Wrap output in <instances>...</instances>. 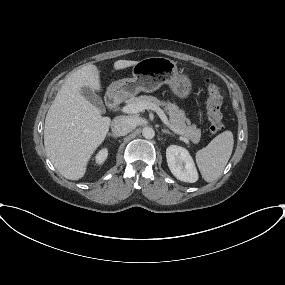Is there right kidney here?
<instances>
[{
	"label": "right kidney",
	"mask_w": 285,
	"mask_h": 285,
	"mask_svg": "<svg viewBox=\"0 0 285 285\" xmlns=\"http://www.w3.org/2000/svg\"><path fill=\"white\" fill-rule=\"evenodd\" d=\"M108 156V150L106 148L101 149L96 155V163L102 164Z\"/></svg>",
	"instance_id": "obj_1"
}]
</instances>
